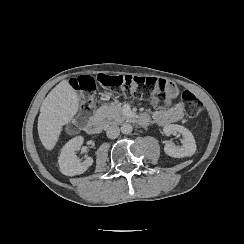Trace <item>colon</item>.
<instances>
[{"label":"colon","mask_w":244,"mask_h":244,"mask_svg":"<svg viewBox=\"0 0 244 244\" xmlns=\"http://www.w3.org/2000/svg\"><path fill=\"white\" fill-rule=\"evenodd\" d=\"M96 81L101 87H110L117 97L129 96L135 99H152L157 106H167L170 99L167 94L166 82L163 79L136 75H116L106 73L99 74ZM91 75H80L70 80V87L73 90H80L83 93L84 102L81 104L76 118H71L64 124V131L67 134H75L83 128L94 112L95 92L97 83ZM181 100L185 105V114L190 117H197L203 108L202 101L189 89L181 93Z\"/></svg>","instance_id":"colon-1"}]
</instances>
